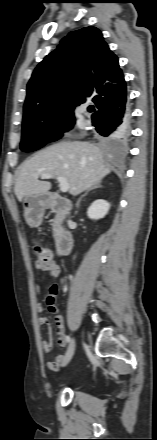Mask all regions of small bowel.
I'll return each mask as SVG.
<instances>
[{
  "mask_svg": "<svg viewBox=\"0 0 157 440\" xmlns=\"http://www.w3.org/2000/svg\"><path fill=\"white\" fill-rule=\"evenodd\" d=\"M36 268L42 272H46L50 276H57L60 272L59 266L53 260H51L46 265L36 266ZM48 304H49L50 311L56 315L55 320H56V325H57V328H56L57 343L60 347H65L66 346V338H65V334H64L63 318H62V316H60L57 313L56 308L54 307V304H51L49 302H48ZM36 309H37V312L39 314H41L43 312L42 304L38 303L36 305ZM39 324L41 326L48 327V333H49L50 337L48 340H44L41 343L42 349L48 353L51 351L52 346H53L52 339H51L52 329H51L50 321L47 317L40 316L39 317ZM65 357H66L65 354L57 355L53 360L47 362V368L51 371H55V372L58 371L60 366L62 365L63 361L65 360Z\"/></svg>",
  "mask_w": 157,
  "mask_h": 440,
  "instance_id": "1",
  "label": "small bowel"
}]
</instances>
